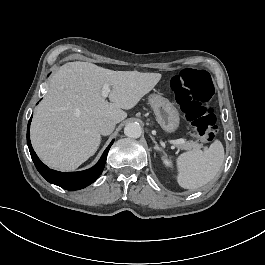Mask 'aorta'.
Masks as SVG:
<instances>
[{"label": "aorta", "mask_w": 265, "mask_h": 265, "mask_svg": "<svg viewBox=\"0 0 265 265\" xmlns=\"http://www.w3.org/2000/svg\"><path fill=\"white\" fill-rule=\"evenodd\" d=\"M142 129L138 123H129L124 128V134L129 138H139Z\"/></svg>", "instance_id": "obj_1"}]
</instances>
